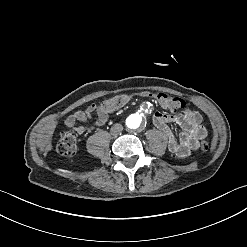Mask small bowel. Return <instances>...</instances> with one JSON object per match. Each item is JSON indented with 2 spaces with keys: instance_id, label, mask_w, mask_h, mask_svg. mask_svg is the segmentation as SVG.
<instances>
[{
  "instance_id": "1",
  "label": "small bowel",
  "mask_w": 247,
  "mask_h": 247,
  "mask_svg": "<svg viewBox=\"0 0 247 247\" xmlns=\"http://www.w3.org/2000/svg\"><path fill=\"white\" fill-rule=\"evenodd\" d=\"M108 112L103 105L92 104L70 114L65 120V126L76 134L83 135L90 132L92 128L79 125V122L95 116V126H102L108 120ZM152 121L154 126L167 137L169 151L179 158L189 157L199 148L200 141L206 136V130L201 125L202 116L195 110L186 109L181 113L156 112ZM169 124H176L183 131L176 136Z\"/></svg>"
}]
</instances>
